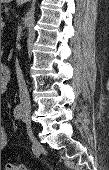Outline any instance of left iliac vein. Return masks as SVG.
Returning <instances> with one entry per match:
<instances>
[{"label": "left iliac vein", "instance_id": "4c4485c4", "mask_svg": "<svg viewBox=\"0 0 109 170\" xmlns=\"http://www.w3.org/2000/svg\"><path fill=\"white\" fill-rule=\"evenodd\" d=\"M23 121H24V122H27V120L25 119V117H23Z\"/></svg>", "mask_w": 109, "mask_h": 170}]
</instances>
